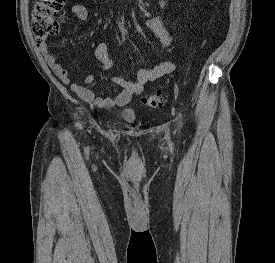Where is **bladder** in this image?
<instances>
[{
  "instance_id": "1",
  "label": "bladder",
  "mask_w": 275,
  "mask_h": 263,
  "mask_svg": "<svg viewBox=\"0 0 275 263\" xmlns=\"http://www.w3.org/2000/svg\"><path fill=\"white\" fill-rule=\"evenodd\" d=\"M120 118L127 123H132L137 119V113L133 108H125L120 112Z\"/></svg>"
}]
</instances>
